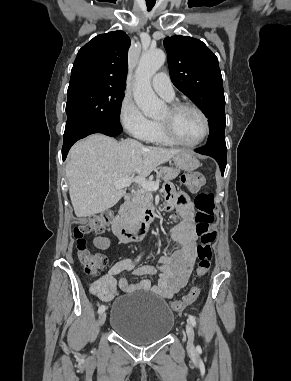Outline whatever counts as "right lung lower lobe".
<instances>
[{
  "instance_id": "right-lung-lower-lobe-1",
  "label": "right lung lower lobe",
  "mask_w": 291,
  "mask_h": 381,
  "mask_svg": "<svg viewBox=\"0 0 291 381\" xmlns=\"http://www.w3.org/2000/svg\"><path fill=\"white\" fill-rule=\"evenodd\" d=\"M123 131L120 123H111V124H104V125H99L96 127H93L83 133H81L78 137L76 138H64L63 142V148H62V159L65 160L67 153L71 146L79 139H82L90 134L93 133H102L108 136H117Z\"/></svg>"
}]
</instances>
